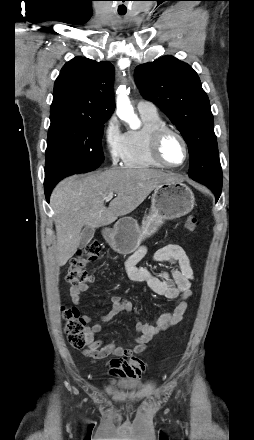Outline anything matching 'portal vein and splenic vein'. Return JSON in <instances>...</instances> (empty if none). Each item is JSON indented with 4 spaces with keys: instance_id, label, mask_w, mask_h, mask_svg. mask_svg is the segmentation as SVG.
<instances>
[{
    "instance_id": "1",
    "label": "portal vein and splenic vein",
    "mask_w": 254,
    "mask_h": 440,
    "mask_svg": "<svg viewBox=\"0 0 254 440\" xmlns=\"http://www.w3.org/2000/svg\"><path fill=\"white\" fill-rule=\"evenodd\" d=\"M113 198V193H109L106 197H104L105 201H110Z\"/></svg>"
}]
</instances>
